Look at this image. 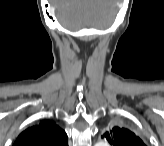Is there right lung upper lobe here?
Masks as SVG:
<instances>
[{"mask_svg": "<svg viewBox=\"0 0 164 146\" xmlns=\"http://www.w3.org/2000/svg\"><path fill=\"white\" fill-rule=\"evenodd\" d=\"M14 146H68L67 134L55 123L42 121L23 131Z\"/></svg>", "mask_w": 164, "mask_h": 146, "instance_id": "1", "label": "right lung upper lobe"}]
</instances>
